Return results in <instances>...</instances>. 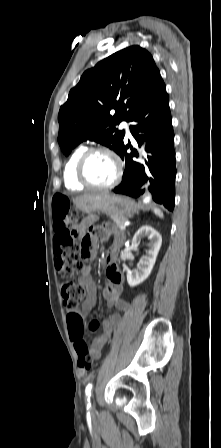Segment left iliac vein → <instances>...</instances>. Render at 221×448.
Wrapping results in <instances>:
<instances>
[{"mask_svg":"<svg viewBox=\"0 0 221 448\" xmlns=\"http://www.w3.org/2000/svg\"><path fill=\"white\" fill-rule=\"evenodd\" d=\"M92 408H94V404H93V402H92Z\"/></svg>","mask_w":221,"mask_h":448,"instance_id":"1","label":"left iliac vein"}]
</instances>
